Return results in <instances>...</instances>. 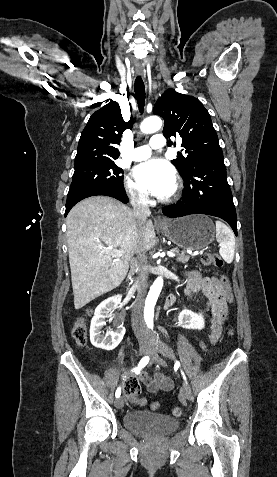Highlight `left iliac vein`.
I'll list each match as a JSON object with an SVG mask.
<instances>
[{"instance_id":"obj_1","label":"left iliac vein","mask_w":277,"mask_h":477,"mask_svg":"<svg viewBox=\"0 0 277 477\" xmlns=\"http://www.w3.org/2000/svg\"><path fill=\"white\" fill-rule=\"evenodd\" d=\"M149 352L152 355H156V353L158 352L161 355H163L164 357H167V358L173 359V360L175 358L172 349L168 345L163 344V343L152 342L151 345H150V351ZM181 394L186 399H190L192 397L191 388L185 380L183 381V387H182Z\"/></svg>"}]
</instances>
